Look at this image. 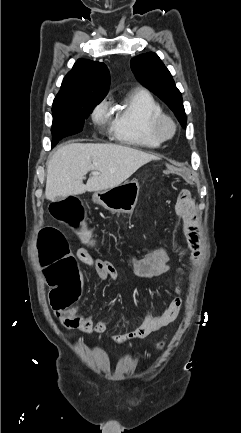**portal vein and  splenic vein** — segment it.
<instances>
[{"label":"portal vein and splenic vein","mask_w":241,"mask_h":433,"mask_svg":"<svg viewBox=\"0 0 241 433\" xmlns=\"http://www.w3.org/2000/svg\"><path fill=\"white\" fill-rule=\"evenodd\" d=\"M92 174H93V175H98L99 172L92 171Z\"/></svg>","instance_id":"18ae733b"}]
</instances>
